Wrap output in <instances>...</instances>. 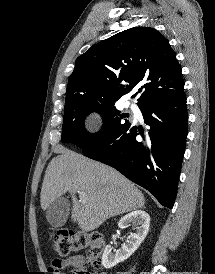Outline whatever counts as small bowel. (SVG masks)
<instances>
[{"mask_svg":"<svg viewBox=\"0 0 215 274\" xmlns=\"http://www.w3.org/2000/svg\"><path fill=\"white\" fill-rule=\"evenodd\" d=\"M65 269H71L72 274H83L86 272L84 256L74 255L65 259H55L49 268V272L53 274H66ZM100 274L106 273L103 272Z\"/></svg>","mask_w":215,"mask_h":274,"instance_id":"c3829d8e","label":"small bowel"}]
</instances>
